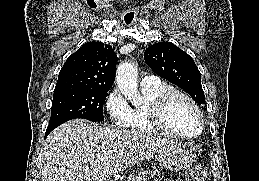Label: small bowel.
Returning a JSON list of instances; mask_svg holds the SVG:
<instances>
[{"mask_svg": "<svg viewBox=\"0 0 259 181\" xmlns=\"http://www.w3.org/2000/svg\"><path fill=\"white\" fill-rule=\"evenodd\" d=\"M170 181H178V180H170Z\"/></svg>", "mask_w": 259, "mask_h": 181, "instance_id": "obj_1", "label": "small bowel"}]
</instances>
